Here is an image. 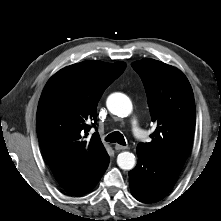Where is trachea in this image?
<instances>
[{"instance_id":"obj_1","label":"trachea","mask_w":221,"mask_h":221,"mask_svg":"<svg viewBox=\"0 0 221 221\" xmlns=\"http://www.w3.org/2000/svg\"><path fill=\"white\" fill-rule=\"evenodd\" d=\"M106 141L111 142V143H118V144L123 145V146L126 145L124 136L118 131L110 133L106 137Z\"/></svg>"}]
</instances>
